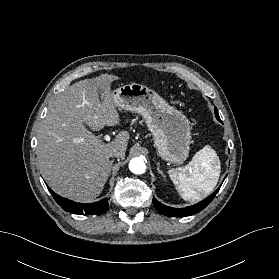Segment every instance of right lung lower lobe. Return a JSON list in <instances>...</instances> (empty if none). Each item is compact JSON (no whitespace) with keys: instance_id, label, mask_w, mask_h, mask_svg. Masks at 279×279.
<instances>
[{"instance_id":"98d812e1","label":"right lung lower lobe","mask_w":279,"mask_h":279,"mask_svg":"<svg viewBox=\"0 0 279 279\" xmlns=\"http://www.w3.org/2000/svg\"><path fill=\"white\" fill-rule=\"evenodd\" d=\"M52 194L55 201L67 212L80 215H95L101 214L108 209V199L104 198L95 203H76L69 199L62 198L61 196L54 193L50 188H48Z\"/></svg>"}]
</instances>
